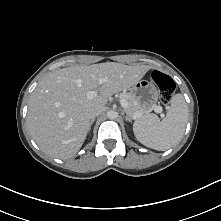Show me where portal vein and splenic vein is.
I'll use <instances>...</instances> for the list:
<instances>
[{
    "instance_id": "1",
    "label": "portal vein and splenic vein",
    "mask_w": 221,
    "mask_h": 221,
    "mask_svg": "<svg viewBox=\"0 0 221 221\" xmlns=\"http://www.w3.org/2000/svg\"><path fill=\"white\" fill-rule=\"evenodd\" d=\"M105 82V79H103V78H101V79H99V84H103ZM95 96H97V91H95V90H93V91H89L88 93H87V97L88 98H93V97H95ZM120 104H121V106L125 109V108H127V106H128V102L126 101V99H124V98H121L120 99ZM154 111L156 112V113H161L162 112V108L160 107V106H155L154 107ZM147 112H149V111H147ZM143 114L142 113H138V114H136L135 116H134V118H139V117H141Z\"/></svg>"
}]
</instances>
